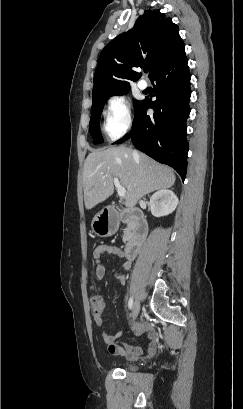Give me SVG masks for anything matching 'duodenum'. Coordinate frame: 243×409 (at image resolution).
Wrapping results in <instances>:
<instances>
[{
    "label": "duodenum",
    "mask_w": 243,
    "mask_h": 409,
    "mask_svg": "<svg viewBox=\"0 0 243 409\" xmlns=\"http://www.w3.org/2000/svg\"><path fill=\"white\" fill-rule=\"evenodd\" d=\"M109 210L112 213L116 212V209L110 207ZM124 220L132 222V229L129 234V240L125 247V255L128 259L135 258L143 245V242L148 233L147 220L143 213L138 209H130L123 215Z\"/></svg>",
    "instance_id": "410a0bca"
}]
</instances>
